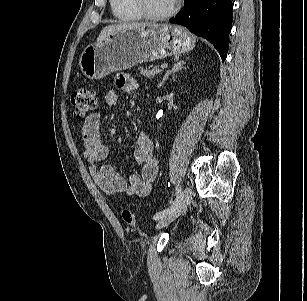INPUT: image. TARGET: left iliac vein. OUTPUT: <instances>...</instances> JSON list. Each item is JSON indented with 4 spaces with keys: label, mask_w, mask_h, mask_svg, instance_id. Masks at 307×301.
Masks as SVG:
<instances>
[{
    "label": "left iliac vein",
    "mask_w": 307,
    "mask_h": 301,
    "mask_svg": "<svg viewBox=\"0 0 307 301\" xmlns=\"http://www.w3.org/2000/svg\"><path fill=\"white\" fill-rule=\"evenodd\" d=\"M192 192L189 187H186L182 193V197L176 208L170 213L166 214L163 218L159 219L156 225L157 229L163 228L169 225L172 221L177 219L179 215L191 204Z\"/></svg>",
    "instance_id": "1"
}]
</instances>
